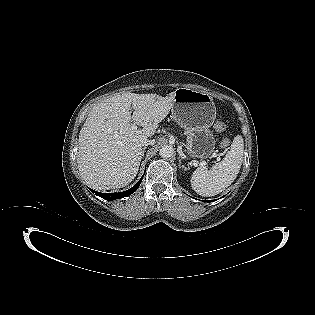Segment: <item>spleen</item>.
<instances>
[{"label": "spleen", "instance_id": "3e777b00", "mask_svg": "<svg viewBox=\"0 0 315 315\" xmlns=\"http://www.w3.org/2000/svg\"><path fill=\"white\" fill-rule=\"evenodd\" d=\"M243 152V138L237 135L221 162L213 165L210 170L200 166L193 172L190 180L192 189L204 197L215 196L224 191L233 183L240 171Z\"/></svg>", "mask_w": 315, "mask_h": 315}]
</instances>
